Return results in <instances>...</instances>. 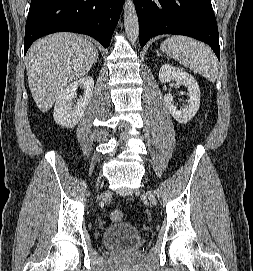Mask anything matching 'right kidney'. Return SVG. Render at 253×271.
<instances>
[{
  "label": "right kidney",
  "instance_id": "obj_1",
  "mask_svg": "<svg viewBox=\"0 0 253 271\" xmlns=\"http://www.w3.org/2000/svg\"><path fill=\"white\" fill-rule=\"evenodd\" d=\"M78 87L84 89V95L76 104L72 102ZM94 80L90 76L82 77L64 89L58 96L54 106L55 122L65 128H74L82 118L93 95Z\"/></svg>",
  "mask_w": 253,
  "mask_h": 271
}]
</instances>
